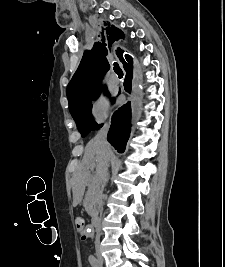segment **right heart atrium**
<instances>
[{
    "label": "right heart atrium",
    "mask_w": 225,
    "mask_h": 267,
    "mask_svg": "<svg viewBox=\"0 0 225 267\" xmlns=\"http://www.w3.org/2000/svg\"><path fill=\"white\" fill-rule=\"evenodd\" d=\"M109 102L105 97H100L92 106L91 114L95 122L102 123L108 116Z\"/></svg>",
    "instance_id": "d8ad5b80"
}]
</instances>
